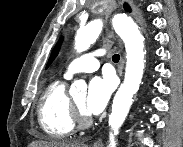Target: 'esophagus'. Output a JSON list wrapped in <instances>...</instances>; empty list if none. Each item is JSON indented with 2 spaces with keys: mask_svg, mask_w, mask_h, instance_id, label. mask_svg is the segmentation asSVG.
<instances>
[{
  "mask_svg": "<svg viewBox=\"0 0 183 147\" xmlns=\"http://www.w3.org/2000/svg\"><path fill=\"white\" fill-rule=\"evenodd\" d=\"M123 66V62H121V67ZM122 73V71H121ZM94 146L98 147V146H102V139L98 138L95 142H94Z\"/></svg>",
  "mask_w": 183,
  "mask_h": 147,
  "instance_id": "1",
  "label": "esophagus"
}]
</instances>
